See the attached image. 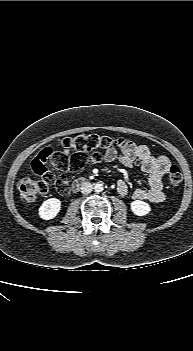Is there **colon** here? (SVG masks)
<instances>
[{
    "label": "colon",
    "mask_w": 193,
    "mask_h": 351,
    "mask_svg": "<svg viewBox=\"0 0 193 351\" xmlns=\"http://www.w3.org/2000/svg\"><path fill=\"white\" fill-rule=\"evenodd\" d=\"M60 145L72 151L71 155L53 152L50 148L43 149L32 161V170L41 177L40 180L23 178L18 183L20 196L25 202H35L44 196L50 186L62 194L67 193L68 181L64 176H55L47 170V164L62 171H78L88 165L101 161L102 152L118 146L116 139L97 134L77 135L64 138ZM183 174L177 165H171L168 170V181L173 187L181 184Z\"/></svg>",
    "instance_id": "5ec220e1"
}]
</instances>
